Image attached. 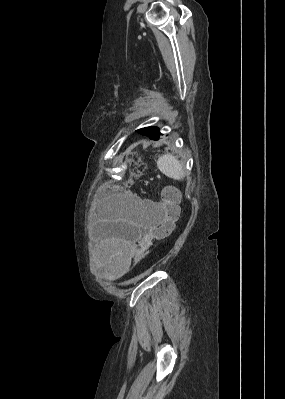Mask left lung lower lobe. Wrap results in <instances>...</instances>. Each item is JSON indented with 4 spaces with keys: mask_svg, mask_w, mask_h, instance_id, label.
<instances>
[{
    "mask_svg": "<svg viewBox=\"0 0 285 399\" xmlns=\"http://www.w3.org/2000/svg\"><path fill=\"white\" fill-rule=\"evenodd\" d=\"M142 135H144V134H142ZM146 136H148L151 140H157L158 137H159V136H156V135H146Z\"/></svg>",
    "mask_w": 285,
    "mask_h": 399,
    "instance_id": "1",
    "label": "left lung lower lobe"
}]
</instances>
